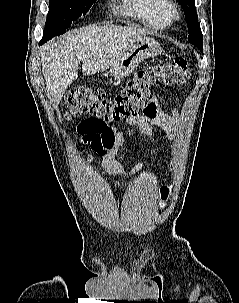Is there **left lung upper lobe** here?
Segmentation results:
<instances>
[{
	"label": "left lung upper lobe",
	"instance_id": "left-lung-upper-lobe-1",
	"mask_svg": "<svg viewBox=\"0 0 239 303\" xmlns=\"http://www.w3.org/2000/svg\"><path fill=\"white\" fill-rule=\"evenodd\" d=\"M184 11L186 22L188 23V40L203 52V35L198 24L195 0H177Z\"/></svg>",
	"mask_w": 239,
	"mask_h": 303
}]
</instances>
